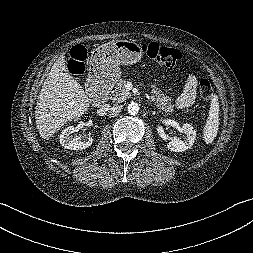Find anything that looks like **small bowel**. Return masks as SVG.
Masks as SVG:
<instances>
[{"label": "small bowel", "instance_id": "c3829d8e", "mask_svg": "<svg viewBox=\"0 0 253 253\" xmlns=\"http://www.w3.org/2000/svg\"><path fill=\"white\" fill-rule=\"evenodd\" d=\"M196 90H197V79L195 76H189L183 93L177 99V106L179 108L189 107L193 104L195 97H196Z\"/></svg>", "mask_w": 253, "mask_h": 253}]
</instances>
